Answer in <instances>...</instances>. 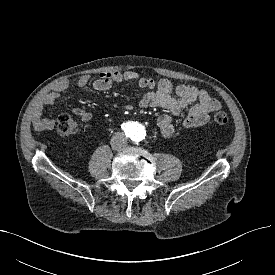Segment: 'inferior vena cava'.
Masks as SVG:
<instances>
[{
	"mask_svg": "<svg viewBox=\"0 0 275 275\" xmlns=\"http://www.w3.org/2000/svg\"><path fill=\"white\" fill-rule=\"evenodd\" d=\"M111 146L114 150H120L127 146V138L122 132H116L111 139Z\"/></svg>",
	"mask_w": 275,
	"mask_h": 275,
	"instance_id": "1",
	"label": "inferior vena cava"
}]
</instances>
